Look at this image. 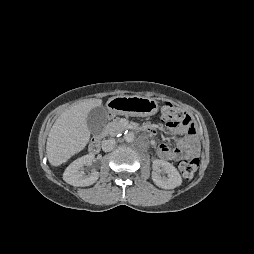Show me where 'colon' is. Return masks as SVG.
Instances as JSON below:
<instances>
[{
	"mask_svg": "<svg viewBox=\"0 0 254 254\" xmlns=\"http://www.w3.org/2000/svg\"><path fill=\"white\" fill-rule=\"evenodd\" d=\"M162 117L166 125L170 128L186 127L190 135L196 133V127L191 117L181 108L167 102L162 106ZM199 165V160L195 157L183 158L179 162V169L185 179H191Z\"/></svg>",
	"mask_w": 254,
	"mask_h": 254,
	"instance_id": "colon-1",
	"label": "colon"
}]
</instances>
